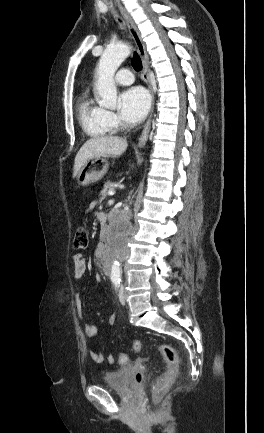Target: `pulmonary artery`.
<instances>
[{
	"label": "pulmonary artery",
	"mask_w": 264,
	"mask_h": 433,
	"mask_svg": "<svg viewBox=\"0 0 264 433\" xmlns=\"http://www.w3.org/2000/svg\"><path fill=\"white\" fill-rule=\"evenodd\" d=\"M134 81L133 75L129 69L123 68L119 70L115 76V82L118 85H130Z\"/></svg>",
	"instance_id": "pulmonary-artery-1"
}]
</instances>
